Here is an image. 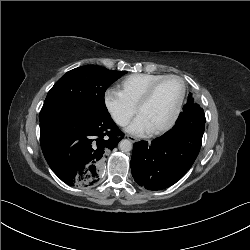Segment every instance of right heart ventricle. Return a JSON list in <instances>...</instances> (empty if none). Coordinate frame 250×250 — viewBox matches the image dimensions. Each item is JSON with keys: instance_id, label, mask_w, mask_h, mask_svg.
I'll return each instance as SVG.
<instances>
[{"instance_id": "1", "label": "right heart ventricle", "mask_w": 250, "mask_h": 250, "mask_svg": "<svg viewBox=\"0 0 250 250\" xmlns=\"http://www.w3.org/2000/svg\"><path fill=\"white\" fill-rule=\"evenodd\" d=\"M162 76L164 75L155 73L131 74L120 82V92L131 104L136 106L146 89Z\"/></svg>"}]
</instances>
